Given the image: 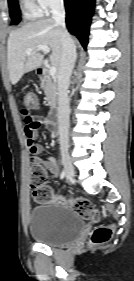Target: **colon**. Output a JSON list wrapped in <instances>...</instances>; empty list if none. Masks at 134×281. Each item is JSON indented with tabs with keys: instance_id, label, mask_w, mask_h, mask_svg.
Instances as JSON below:
<instances>
[{
	"instance_id": "colon-1",
	"label": "colon",
	"mask_w": 134,
	"mask_h": 281,
	"mask_svg": "<svg viewBox=\"0 0 134 281\" xmlns=\"http://www.w3.org/2000/svg\"><path fill=\"white\" fill-rule=\"evenodd\" d=\"M24 105L28 109L36 108L38 105V98L36 94L33 92H28L24 97ZM29 183L36 202L48 203L55 201L71 207L83 218L92 219L95 221L99 219L97 210L89 200L84 198L55 197L52 189L48 185L47 173L43 167L36 166L32 168ZM112 234V225L99 226L92 231L90 236V244L93 246L104 244L110 240Z\"/></svg>"
}]
</instances>
